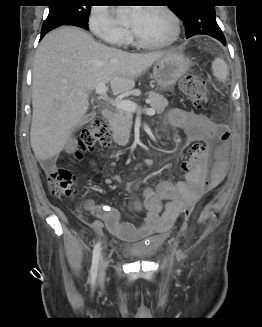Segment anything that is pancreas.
Here are the masks:
<instances>
[{
    "instance_id": "1",
    "label": "pancreas",
    "mask_w": 262,
    "mask_h": 327,
    "mask_svg": "<svg viewBox=\"0 0 262 327\" xmlns=\"http://www.w3.org/2000/svg\"><path fill=\"white\" fill-rule=\"evenodd\" d=\"M148 97L150 100V106L155 109L157 114H161L168 106V101L163 95L155 92H149ZM133 115L131 112L124 111L122 109H116L112 119L110 120V127L113 131L114 141L125 146L130 139V132L132 128Z\"/></svg>"
}]
</instances>
